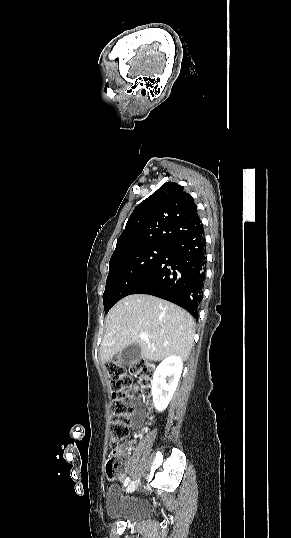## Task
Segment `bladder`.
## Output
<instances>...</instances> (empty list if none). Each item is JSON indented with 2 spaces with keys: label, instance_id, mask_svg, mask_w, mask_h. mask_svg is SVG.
Returning <instances> with one entry per match:
<instances>
[{
  "label": "bladder",
  "instance_id": "31cf9c89",
  "mask_svg": "<svg viewBox=\"0 0 291 538\" xmlns=\"http://www.w3.org/2000/svg\"><path fill=\"white\" fill-rule=\"evenodd\" d=\"M107 514L117 521H135L146 517L150 505L142 498L121 491L118 484L111 486L106 494Z\"/></svg>",
  "mask_w": 291,
  "mask_h": 538
}]
</instances>
